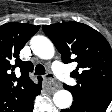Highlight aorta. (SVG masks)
<instances>
[{"mask_svg":"<svg viewBox=\"0 0 112 112\" xmlns=\"http://www.w3.org/2000/svg\"><path fill=\"white\" fill-rule=\"evenodd\" d=\"M30 47L35 55L48 60L53 58L55 50L53 43L45 36H34L30 41ZM73 101L72 94L67 90H59L53 96L54 104L60 109H67Z\"/></svg>","mask_w":112,"mask_h":112,"instance_id":"obj_1","label":"aorta"}]
</instances>
